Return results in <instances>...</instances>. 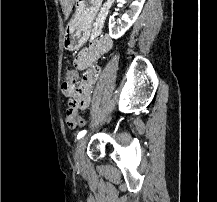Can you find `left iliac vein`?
I'll list each match as a JSON object with an SVG mask.
<instances>
[{
	"label": "left iliac vein",
	"instance_id": "4c4485c4",
	"mask_svg": "<svg viewBox=\"0 0 217 202\" xmlns=\"http://www.w3.org/2000/svg\"><path fill=\"white\" fill-rule=\"evenodd\" d=\"M86 142H87L86 138H81L75 147V159L77 165L80 167L84 166L85 164L84 153L86 148Z\"/></svg>",
	"mask_w": 217,
	"mask_h": 202
}]
</instances>
